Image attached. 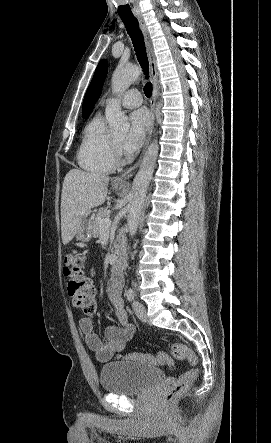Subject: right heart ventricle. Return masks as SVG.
Returning a JSON list of instances; mask_svg holds the SVG:
<instances>
[{
  "mask_svg": "<svg viewBox=\"0 0 271 443\" xmlns=\"http://www.w3.org/2000/svg\"><path fill=\"white\" fill-rule=\"evenodd\" d=\"M77 162L84 170L96 174L111 173L116 167L113 137L99 113L84 127Z\"/></svg>",
  "mask_w": 271,
  "mask_h": 443,
  "instance_id": "obj_1",
  "label": "right heart ventricle"
}]
</instances>
